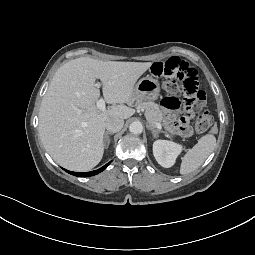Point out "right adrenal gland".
<instances>
[{
	"label": "right adrenal gland",
	"instance_id": "right-adrenal-gland-1",
	"mask_svg": "<svg viewBox=\"0 0 255 255\" xmlns=\"http://www.w3.org/2000/svg\"><path fill=\"white\" fill-rule=\"evenodd\" d=\"M109 134H112V133L106 132V133H105V136H104V146H105V147H108V146H109V143H110Z\"/></svg>",
	"mask_w": 255,
	"mask_h": 255
}]
</instances>
